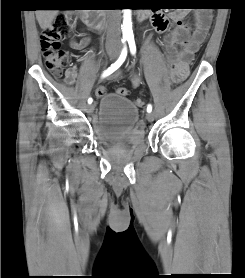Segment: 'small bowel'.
Instances as JSON below:
<instances>
[{"label": "small bowel", "mask_w": 245, "mask_h": 278, "mask_svg": "<svg viewBox=\"0 0 245 278\" xmlns=\"http://www.w3.org/2000/svg\"><path fill=\"white\" fill-rule=\"evenodd\" d=\"M185 14L183 12H173L169 16L157 13L152 16V23L155 31L164 33L162 46L167 55V63L172 70L181 78H185L189 72V65L200 46L207 37L208 30L206 23L210 14L206 11L196 9L193 12L194 29L191 30L187 24L182 22ZM175 27L171 30V26ZM90 43V37L84 34L81 39H71L70 46L75 50H81ZM77 67L70 66L66 69L64 81L72 85L76 82ZM132 81L135 86L139 85L140 77L132 76ZM105 94L104 88L97 89V95Z\"/></svg>", "instance_id": "c3829d8e"}]
</instances>
